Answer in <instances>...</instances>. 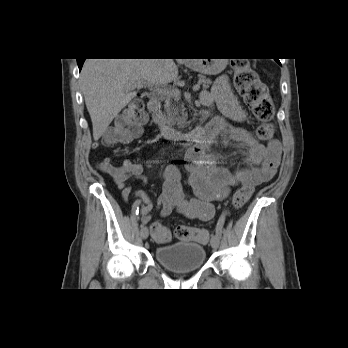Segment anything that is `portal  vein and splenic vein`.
I'll return each mask as SVG.
<instances>
[{
  "instance_id": "obj_1",
  "label": "portal vein and splenic vein",
  "mask_w": 348,
  "mask_h": 348,
  "mask_svg": "<svg viewBox=\"0 0 348 348\" xmlns=\"http://www.w3.org/2000/svg\"><path fill=\"white\" fill-rule=\"evenodd\" d=\"M146 83L145 82H142V81H138L136 83H134L132 85V88H140V87H143L145 86ZM154 89L156 91H158V93L160 94H164V95H167V96H171V97H174V98H179L180 95H181V92L179 89L177 88H174V87H168V86H155ZM200 89V85L199 84H196L193 86V91H198Z\"/></svg>"
}]
</instances>
